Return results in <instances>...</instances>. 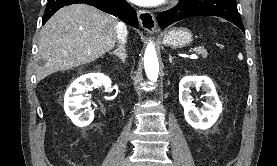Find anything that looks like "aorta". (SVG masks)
Masks as SVG:
<instances>
[{
  "mask_svg": "<svg viewBox=\"0 0 277 166\" xmlns=\"http://www.w3.org/2000/svg\"><path fill=\"white\" fill-rule=\"evenodd\" d=\"M144 67L149 80L156 81L159 73V63L155 50V46L150 42L144 54Z\"/></svg>",
  "mask_w": 277,
  "mask_h": 166,
  "instance_id": "1",
  "label": "aorta"
}]
</instances>
